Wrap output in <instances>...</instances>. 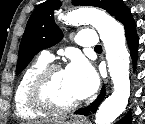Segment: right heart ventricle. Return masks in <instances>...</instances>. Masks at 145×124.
<instances>
[{
	"label": "right heart ventricle",
	"instance_id": "obj_1",
	"mask_svg": "<svg viewBox=\"0 0 145 124\" xmlns=\"http://www.w3.org/2000/svg\"><path fill=\"white\" fill-rule=\"evenodd\" d=\"M49 64V61L39 57L33 62L22 74L14 96L16 113L21 118H38L43 116L45 113H41L32 109L28 102V91L31 82L37 73Z\"/></svg>",
	"mask_w": 145,
	"mask_h": 124
}]
</instances>
